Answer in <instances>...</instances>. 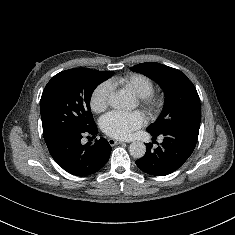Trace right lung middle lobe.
I'll return each instance as SVG.
<instances>
[{
    "label": "right lung middle lobe",
    "instance_id": "dd1d6c3e",
    "mask_svg": "<svg viewBox=\"0 0 235 235\" xmlns=\"http://www.w3.org/2000/svg\"><path fill=\"white\" fill-rule=\"evenodd\" d=\"M112 75V71L75 68L51 78L40 101L46 144L65 131H87L95 125L90 111L91 95L97 85Z\"/></svg>",
    "mask_w": 235,
    "mask_h": 235
}]
</instances>
